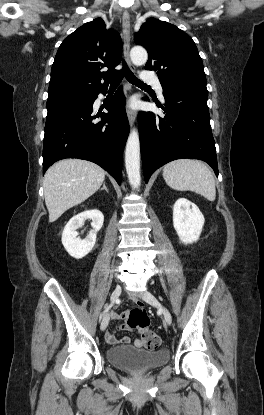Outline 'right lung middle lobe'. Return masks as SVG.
Masks as SVG:
<instances>
[{
    "mask_svg": "<svg viewBox=\"0 0 264 415\" xmlns=\"http://www.w3.org/2000/svg\"><path fill=\"white\" fill-rule=\"evenodd\" d=\"M85 97H87V96H83V97H64V98H59V99L47 100V104L57 103V102H61V101H68V100H77V99H82V98H85Z\"/></svg>",
    "mask_w": 264,
    "mask_h": 415,
    "instance_id": "dd1d6c3e",
    "label": "right lung middle lobe"
}]
</instances>
